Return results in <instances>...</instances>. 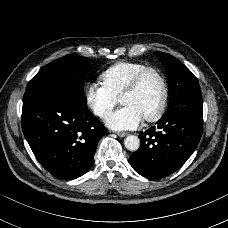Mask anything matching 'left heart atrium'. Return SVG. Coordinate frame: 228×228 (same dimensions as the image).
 <instances>
[{
    "label": "left heart atrium",
    "instance_id": "left-heart-atrium-1",
    "mask_svg": "<svg viewBox=\"0 0 228 228\" xmlns=\"http://www.w3.org/2000/svg\"><path fill=\"white\" fill-rule=\"evenodd\" d=\"M143 119V116L135 108L124 106L108 114L105 118V123L114 130H132L137 128Z\"/></svg>",
    "mask_w": 228,
    "mask_h": 228
}]
</instances>
